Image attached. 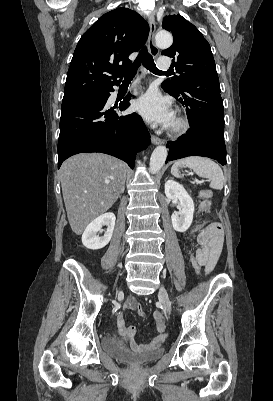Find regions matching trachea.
<instances>
[{
    "mask_svg": "<svg viewBox=\"0 0 273 401\" xmlns=\"http://www.w3.org/2000/svg\"><path fill=\"white\" fill-rule=\"evenodd\" d=\"M141 63L145 68H147V70H149L152 73H155V74L162 73V71H160L156 67L152 55H150V53H148L146 46H144L140 50L134 63L128 69L127 73L124 75V81H131L134 78V76L137 72V69L139 68Z\"/></svg>",
    "mask_w": 273,
    "mask_h": 401,
    "instance_id": "3493384b",
    "label": "trachea"
}]
</instances>
